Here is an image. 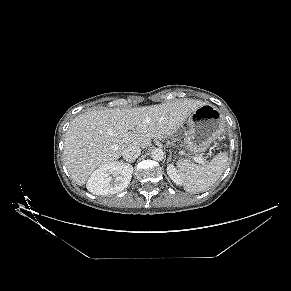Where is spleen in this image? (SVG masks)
<instances>
[{"label": "spleen", "instance_id": "1", "mask_svg": "<svg viewBox=\"0 0 291 291\" xmlns=\"http://www.w3.org/2000/svg\"><path fill=\"white\" fill-rule=\"evenodd\" d=\"M227 163L228 154L226 152L217 154L206 166L193 164L187 159L179 160L177 167L185 191L189 193L205 191L221 177Z\"/></svg>", "mask_w": 291, "mask_h": 291}]
</instances>
